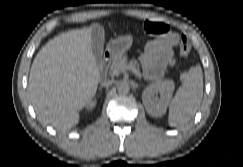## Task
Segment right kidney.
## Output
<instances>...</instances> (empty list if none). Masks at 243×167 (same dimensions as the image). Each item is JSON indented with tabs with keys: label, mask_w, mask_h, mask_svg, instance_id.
<instances>
[{
	"label": "right kidney",
	"mask_w": 243,
	"mask_h": 167,
	"mask_svg": "<svg viewBox=\"0 0 243 167\" xmlns=\"http://www.w3.org/2000/svg\"><path fill=\"white\" fill-rule=\"evenodd\" d=\"M96 105V101H91L88 103V108L92 109Z\"/></svg>",
	"instance_id": "obj_1"
}]
</instances>
